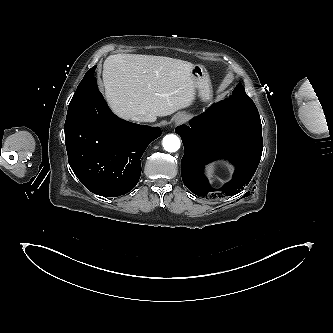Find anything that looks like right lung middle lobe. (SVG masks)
<instances>
[{
  "label": "right lung middle lobe",
  "mask_w": 333,
  "mask_h": 333,
  "mask_svg": "<svg viewBox=\"0 0 333 333\" xmlns=\"http://www.w3.org/2000/svg\"><path fill=\"white\" fill-rule=\"evenodd\" d=\"M96 69V66L92 67L84 76L83 80L80 82V84L77 87V90L69 104L68 109L73 107L74 105H78L81 103V97L84 95V93L87 91L89 86L93 81L96 80L94 77V71Z\"/></svg>",
  "instance_id": "dd1d6c3e"
}]
</instances>
